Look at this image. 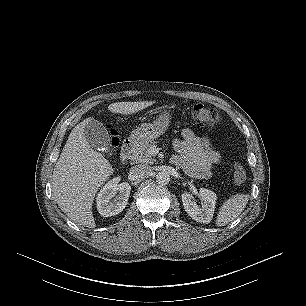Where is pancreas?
<instances>
[{"label":"pancreas","instance_id":"pancreas-1","mask_svg":"<svg viewBox=\"0 0 306 306\" xmlns=\"http://www.w3.org/2000/svg\"><path fill=\"white\" fill-rule=\"evenodd\" d=\"M154 147H156V142L141 145L133 152L131 159L137 164H153L155 162V159L152 158V149Z\"/></svg>","mask_w":306,"mask_h":306}]
</instances>
